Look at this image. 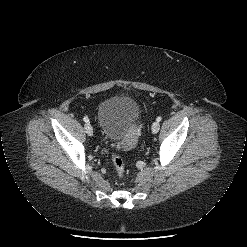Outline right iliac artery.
<instances>
[{"label":"right iliac artery","instance_id":"1","mask_svg":"<svg viewBox=\"0 0 247 247\" xmlns=\"http://www.w3.org/2000/svg\"><path fill=\"white\" fill-rule=\"evenodd\" d=\"M83 120L88 123L89 122V119L87 117H84Z\"/></svg>","mask_w":247,"mask_h":247}]
</instances>
